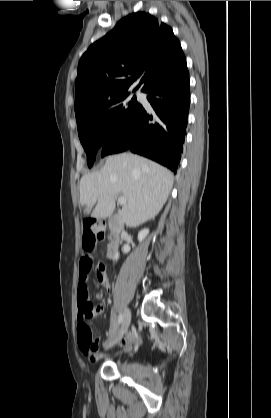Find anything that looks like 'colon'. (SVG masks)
Here are the masks:
<instances>
[{
  "label": "colon",
  "instance_id": "5ec220e1",
  "mask_svg": "<svg viewBox=\"0 0 271 418\" xmlns=\"http://www.w3.org/2000/svg\"><path fill=\"white\" fill-rule=\"evenodd\" d=\"M103 237L104 230L100 223L89 221L84 225L82 246L86 255L85 257L89 259V267H92L90 254L94 250L96 243ZM78 339L80 346L84 348H91L95 345L93 333L88 323H80L78 325Z\"/></svg>",
  "mask_w": 271,
  "mask_h": 418
}]
</instances>
